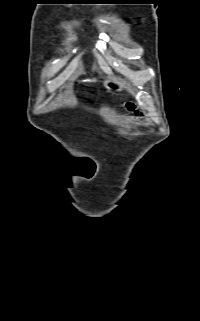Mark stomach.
Instances as JSON below:
<instances>
[{"instance_id": "stomach-1", "label": "stomach", "mask_w": 200, "mask_h": 321, "mask_svg": "<svg viewBox=\"0 0 200 321\" xmlns=\"http://www.w3.org/2000/svg\"><path fill=\"white\" fill-rule=\"evenodd\" d=\"M104 84L109 91L113 92L121 91L124 87L123 82L113 79H107Z\"/></svg>"}]
</instances>
